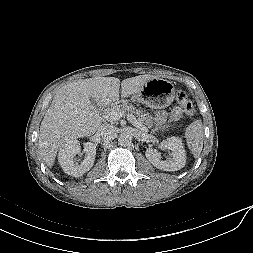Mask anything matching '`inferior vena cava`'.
I'll use <instances>...</instances> for the list:
<instances>
[{
    "label": "inferior vena cava",
    "instance_id": "inferior-vena-cava-1",
    "mask_svg": "<svg viewBox=\"0 0 253 253\" xmlns=\"http://www.w3.org/2000/svg\"><path fill=\"white\" fill-rule=\"evenodd\" d=\"M115 131L116 129L114 126L110 124H103L98 128L96 135L99 141L108 142L114 137Z\"/></svg>",
    "mask_w": 253,
    "mask_h": 253
}]
</instances>
